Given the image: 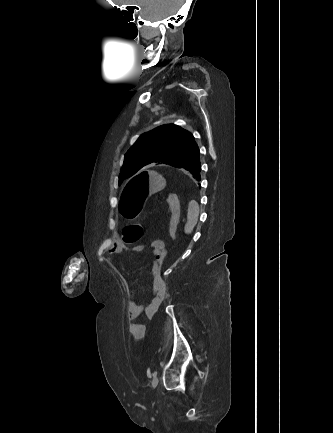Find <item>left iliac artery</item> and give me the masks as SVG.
Instances as JSON below:
<instances>
[{
	"mask_svg": "<svg viewBox=\"0 0 333 433\" xmlns=\"http://www.w3.org/2000/svg\"><path fill=\"white\" fill-rule=\"evenodd\" d=\"M157 372H154L152 375L155 377ZM148 376L150 377V372H148Z\"/></svg>",
	"mask_w": 333,
	"mask_h": 433,
	"instance_id": "obj_1",
	"label": "left iliac artery"
}]
</instances>
